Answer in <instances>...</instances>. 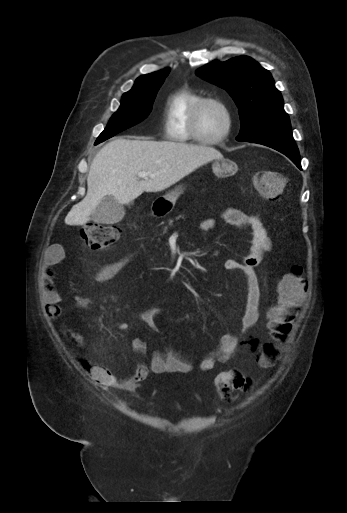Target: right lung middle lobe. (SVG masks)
<instances>
[{
	"label": "right lung middle lobe",
	"instance_id": "dd1d6c3e",
	"mask_svg": "<svg viewBox=\"0 0 347 513\" xmlns=\"http://www.w3.org/2000/svg\"><path fill=\"white\" fill-rule=\"evenodd\" d=\"M163 81L164 79L149 82L125 93L122 96L120 108L111 117L97 141L103 142L144 120L151 112L154 99Z\"/></svg>",
	"mask_w": 347,
	"mask_h": 513
}]
</instances>
